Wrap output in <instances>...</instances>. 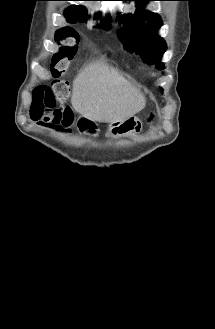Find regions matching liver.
Segmentation results:
<instances>
[{
	"label": "liver",
	"instance_id": "obj_1",
	"mask_svg": "<svg viewBox=\"0 0 215 329\" xmlns=\"http://www.w3.org/2000/svg\"><path fill=\"white\" fill-rule=\"evenodd\" d=\"M71 103L94 122L123 121L146 105L144 95L116 70L98 63L84 67L73 81Z\"/></svg>",
	"mask_w": 215,
	"mask_h": 329
}]
</instances>
